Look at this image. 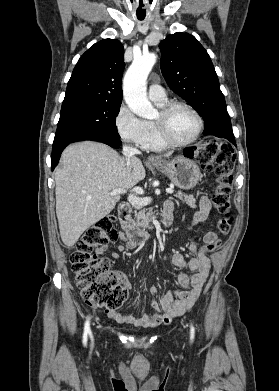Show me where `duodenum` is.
<instances>
[{
    "label": "duodenum",
    "mask_w": 279,
    "mask_h": 391,
    "mask_svg": "<svg viewBox=\"0 0 279 391\" xmlns=\"http://www.w3.org/2000/svg\"><path fill=\"white\" fill-rule=\"evenodd\" d=\"M173 208L163 207L161 212V222L165 226H170L173 221L172 215ZM131 208L126 202H123L118 207V219L121 227L127 233L128 243L131 246H136L146 242L150 238V234L147 231L137 228L131 221Z\"/></svg>",
    "instance_id": "obj_1"
}]
</instances>
